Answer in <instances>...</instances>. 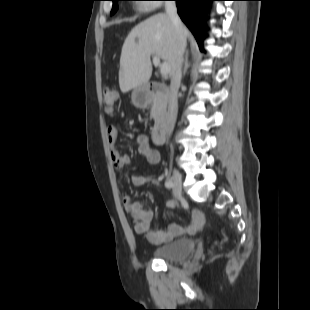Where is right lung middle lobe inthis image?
I'll return each instance as SVG.
<instances>
[{"label":"right lung middle lobe","instance_id":"dd1d6c3e","mask_svg":"<svg viewBox=\"0 0 310 310\" xmlns=\"http://www.w3.org/2000/svg\"><path fill=\"white\" fill-rule=\"evenodd\" d=\"M111 1H113V7H112V10H111V14H114L117 11V9H118L117 2L120 1V0H111Z\"/></svg>","mask_w":310,"mask_h":310}]
</instances>
